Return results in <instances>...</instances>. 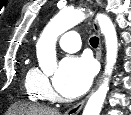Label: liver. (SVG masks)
<instances>
[{
  "label": "liver",
  "mask_w": 131,
  "mask_h": 115,
  "mask_svg": "<svg viewBox=\"0 0 131 115\" xmlns=\"http://www.w3.org/2000/svg\"><path fill=\"white\" fill-rule=\"evenodd\" d=\"M9 115H60L56 110L31 104H14Z\"/></svg>",
  "instance_id": "liver-1"
}]
</instances>
